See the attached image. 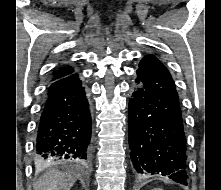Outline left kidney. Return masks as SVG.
Masks as SVG:
<instances>
[{
  "instance_id": "5707ae66",
  "label": "left kidney",
  "mask_w": 221,
  "mask_h": 190,
  "mask_svg": "<svg viewBox=\"0 0 221 190\" xmlns=\"http://www.w3.org/2000/svg\"><path fill=\"white\" fill-rule=\"evenodd\" d=\"M153 190H162V189H153Z\"/></svg>"
}]
</instances>
